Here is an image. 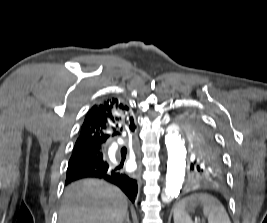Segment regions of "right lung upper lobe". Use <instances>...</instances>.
Wrapping results in <instances>:
<instances>
[{
	"mask_svg": "<svg viewBox=\"0 0 267 223\" xmlns=\"http://www.w3.org/2000/svg\"><path fill=\"white\" fill-rule=\"evenodd\" d=\"M135 128L130 108L115 97L106 98L86 114L74 149L88 147L100 151L111 139Z\"/></svg>",
	"mask_w": 267,
	"mask_h": 223,
	"instance_id": "right-lung-upper-lobe-1",
	"label": "right lung upper lobe"
}]
</instances>
